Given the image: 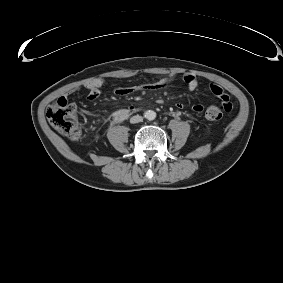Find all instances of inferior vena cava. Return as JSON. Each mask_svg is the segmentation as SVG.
Segmentation results:
<instances>
[{"mask_svg":"<svg viewBox=\"0 0 283 283\" xmlns=\"http://www.w3.org/2000/svg\"><path fill=\"white\" fill-rule=\"evenodd\" d=\"M142 121H143V117L139 116V115L133 116L130 119L131 123H139V122H142Z\"/></svg>","mask_w":283,"mask_h":283,"instance_id":"obj_1","label":"inferior vena cava"}]
</instances>
